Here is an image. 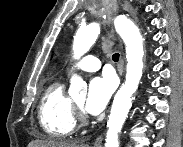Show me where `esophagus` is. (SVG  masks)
I'll return each instance as SVG.
<instances>
[{
    "label": "esophagus",
    "instance_id": "obj_1",
    "mask_svg": "<svg viewBox=\"0 0 183 147\" xmlns=\"http://www.w3.org/2000/svg\"><path fill=\"white\" fill-rule=\"evenodd\" d=\"M123 65H124V62H123V59H122L121 62H120V67H121L120 74H122V72H123ZM102 140H103L102 135H99L96 138L95 142H94V146H101Z\"/></svg>",
    "mask_w": 183,
    "mask_h": 147
}]
</instances>
